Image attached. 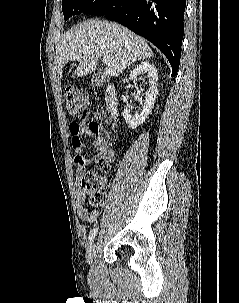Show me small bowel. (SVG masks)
Here are the masks:
<instances>
[{
    "label": "small bowel",
    "mask_w": 239,
    "mask_h": 303,
    "mask_svg": "<svg viewBox=\"0 0 239 303\" xmlns=\"http://www.w3.org/2000/svg\"><path fill=\"white\" fill-rule=\"evenodd\" d=\"M71 145L75 151L76 176L81 179L87 171V165L91 162L99 163L104 161L112 163L115 160V151L110 147V136L106 129L96 121L72 122L69 125ZM86 141L96 149L91 158L84 156ZM85 194L79 188L76 190V207L81 220L93 224L98 215L96 210H89L84 202Z\"/></svg>",
    "instance_id": "small-bowel-1"
}]
</instances>
